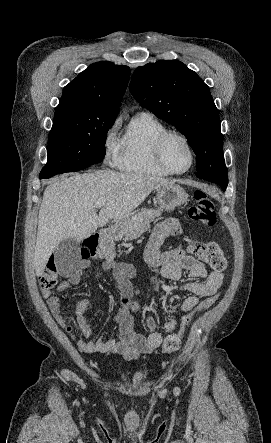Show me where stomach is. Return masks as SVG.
<instances>
[{
  "mask_svg": "<svg viewBox=\"0 0 271 443\" xmlns=\"http://www.w3.org/2000/svg\"><path fill=\"white\" fill-rule=\"evenodd\" d=\"M187 198L188 196L183 188H180L177 184H166V186H161L158 190L157 204L160 210L172 212V210H175L178 206L186 204ZM124 235L125 231L122 222L117 223L114 231L111 233L112 239L118 241V239H122Z\"/></svg>",
  "mask_w": 271,
  "mask_h": 443,
  "instance_id": "stomach-1",
  "label": "stomach"
}]
</instances>
